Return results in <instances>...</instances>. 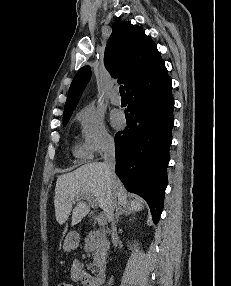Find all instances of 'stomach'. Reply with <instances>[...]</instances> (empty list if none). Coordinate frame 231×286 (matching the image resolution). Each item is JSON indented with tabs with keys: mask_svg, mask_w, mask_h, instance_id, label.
<instances>
[{
	"mask_svg": "<svg viewBox=\"0 0 231 286\" xmlns=\"http://www.w3.org/2000/svg\"><path fill=\"white\" fill-rule=\"evenodd\" d=\"M79 234L75 231H71L66 236L64 243H63V249L64 251H70L73 249H76L79 245Z\"/></svg>",
	"mask_w": 231,
	"mask_h": 286,
	"instance_id": "0dacf381",
	"label": "stomach"
}]
</instances>
